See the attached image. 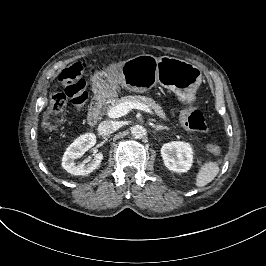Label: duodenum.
Wrapping results in <instances>:
<instances>
[{"label":"duodenum","mask_w":266,"mask_h":266,"mask_svg":"<svg viewBox=\"0 0 266 266\" xmlns=\"http://www.w3.org/2000/svg\"><path fill=\"white\" fill-rule=\"evenodd\" d=\"M93 86L95 88L93 92V99L96 103L93 104L90 114V123H95L99 119L100 104H105L109 101L110 97L116 92V85L105 74H98L93 79Z\"/></svg>","instance_id":"1"}]
</instances>
